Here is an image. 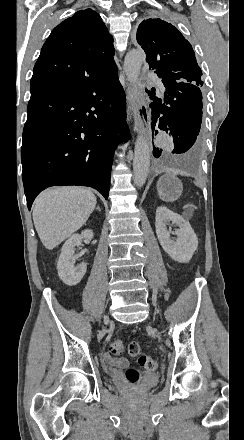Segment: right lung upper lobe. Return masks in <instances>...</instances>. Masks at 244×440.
<instances>
[{
  "instance_id": "1",
  "label": "right lung upper lobe",
  "mask_w": 244,
  "mask_h": 440,
  "mask_svg": "<svg viewBox=\"0 0 244 440\" xmlns=\"http://www.w3.org/2000/svg\"><path fill=\"white\" fill-rule=\"evenodd\" d=\"M113 38L100 15L80 10L53 29L34 66L32 93L74 85L116 69Z\"/></svg>"
}]
</instances>
